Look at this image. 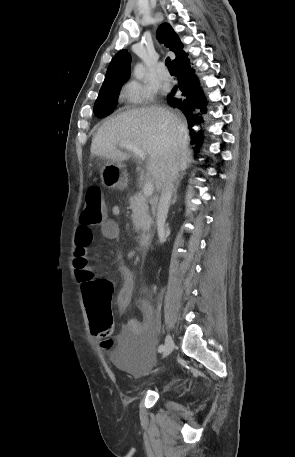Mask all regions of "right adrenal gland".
<instances>
[{"label": "right adrenal gland", "instance_id": "2a0ac1e0", "mask_svg": "<svg viewBox=\"0 0 295 457\" xmlns=\"http://www.w3.org/2000/svg\"><path fill=\"white\" fill-rule=\"evenodd\" d=\"M183 178V176H179V179L176 181V185H175V188H174V197H173V200L171 202V205H174L175 202H176V199H177V189L179 187V183L181 181V179Z\"/></svg>", "mask_w": 295, "mask_h": 457}]
</instances>
